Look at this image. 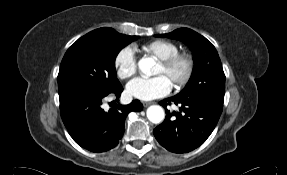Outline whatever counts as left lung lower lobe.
<instances>
[{
    "label": "left lung lower lobe",
    "mask_w": 287,
    "mask_h": 175,
    "mask_svg": "<svg viewBox=\"0 0 287 175\" xmlns=\"http://www.w3.org/2000/svg\"><path fill=\"white\" fill-rule=\"evenodd\" d=\"M179 105V112H170L166 106ZM167 113L166 119L153 133L157 141L174 153L190 152L210 136L214 130L223 106L199 97H179L160 101Z\"/></svg>",
    "instance_id": "1"
}]
</instances>
